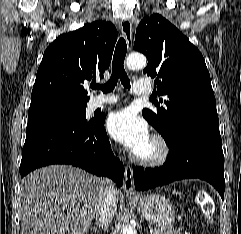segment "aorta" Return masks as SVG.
I'll list each match as a JSON object with an SVG mask.
<instances>
[{"mask_svg": "<svg viewBox=\"0 0 241 234\" xmlns=\"http://www.w3.org/2000/svg\"><path fill=\"white\" fill-rule=\"evenodd\" d=\"M127 68L130 70L143 69L147 65V59L142 54H130L126 60ZM122 234H137L136 230L129 226L123 227Z\"/></svg>", "mask_w": 241, "mask_h": 234, "instance_id": "1", "label": "aorta"}]
</instances>
